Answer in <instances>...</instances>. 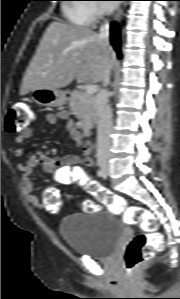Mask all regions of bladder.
I'll return each mask as SVG.
<instances>
[{"mask_svg": "<svg viewBox=\"0 0 180 299\" xmlns=\"http://www.w3.org/2000/svg\"><path fill=\"white\" fill-rule=\"evenodd\" d=\"M59 231L73 252L97 260L108 259L124 233L119 219L108 210L72 213L60 222Z\"/></svg>", "mask_w": 180, "mask_h": 299, "instance_id": "obj_1", "label": "bladder"}]
</instances>
